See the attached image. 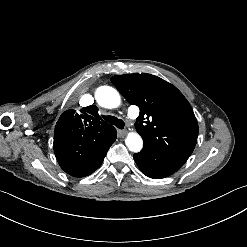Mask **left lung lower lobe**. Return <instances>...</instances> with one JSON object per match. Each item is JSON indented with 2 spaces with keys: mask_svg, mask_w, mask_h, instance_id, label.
<instances>
[{
  "mask_svg": "<svg viewBox=\"0 0 247 247\" xmlns=\"http://www.w3.org/2000/svg\"><path fill=\"white\" fill-rule=\"evenodd\" d=\"M133 157L142 173L154 179L170 176L185 163L145 144L141 152Z\"/></svg>",
  "mask_w": 247,
  "mask_h": 247,
  "instance_id": "1",
  "label": "left lung lower lobe"
}]
</instances>
